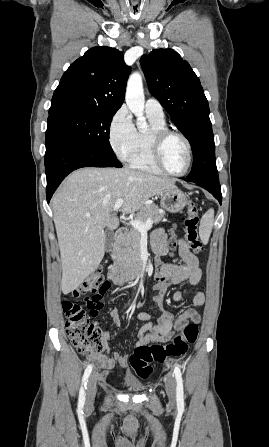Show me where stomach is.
Wrapping results in <instances>:
<instances>
[{
	"mask_svg": "<svg viewBox=\"0 0 269 447\" xmlns=\"http://www.w3.org/2000/svg\"><path fill=\"white\" fill-rule=\"evenodd\" d=\"M187 202V196L181 190H177V188L165 190L161 194V206L167 212H171V214H177V212L184 210Z\"/></svg>",
	"mask_w": 269,
	"mask_h": 447,
	"instance_id": "obj_1",
	"label": "stomach"
}]
</instances>
